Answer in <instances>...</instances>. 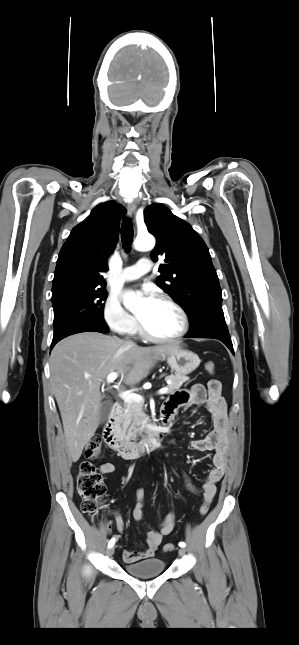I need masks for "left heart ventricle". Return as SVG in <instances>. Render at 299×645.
<instances>
[{
  "label": "left heart ventricle",
  "instance_id": "b2bd125f",
  "mask_svg": "<svg viewBox=\"0 0 299 645\" xmlns=\"http://www.w3.org/2000/svg\"><path fill=\"white\" fill-rule=\"evenodd\" d=\"M137 316L151 334L159 337L175 334L181 325L180 317L175 309L158 300L147 310L142 304L137 310Z\"/></svg>",
  "mask_w": 299,
  "mask_h": 645
}]
</instances>
